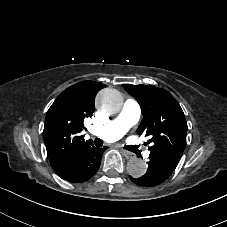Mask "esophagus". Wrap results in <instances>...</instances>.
Segmentation results:
<instances>
[{"label":"esophagus","instance_id":"1","mask_svg":"<svg viewBox=\"0 0 227 227\" xmlns=\"http://www.w3.org/2000/svg\"><path fill=\"white\" fill-rule=\"evenodd\" d=\"M121 153L127 158V159H132L134 158L136 155L132 152H128L126 150H121Z\"/></svg>","mask_w":227,"mask_h":227}]
</instances>
